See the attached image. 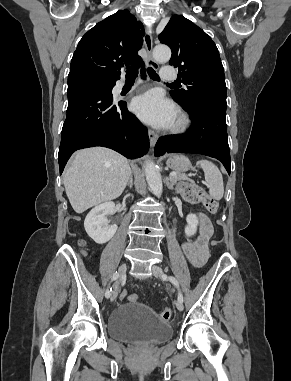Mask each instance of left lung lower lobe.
I'll return each instance as SVG.
<instances>
[{"instance_id":"obj_1","label":"left lung lower lobe","mask_w":291,"mask_h":381,"mask_svg":"<svg viewBox=\"0 0 291 381\" xmlns=\"http://www.w3.org/2000/svg\"><path fill=\"white\" fill-rule=\"evenodd\" d=\"M185 110L192 120L190 129L184 134L160 137L155 146V156L165 153L203 154L220 160L230 174L226 106L196 103Z\"/></svg>"}]
</instances>
